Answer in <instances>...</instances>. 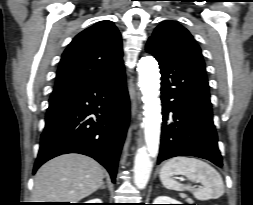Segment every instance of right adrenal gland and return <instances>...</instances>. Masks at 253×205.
<instances>
[{
	"label": "right adrenal gland",
	"instance_id": "2a0ac1e0",
	"mask_svg": "<svg viewBox=\"0 0 253 205\" xmlns=\"http://www.w3.org/2000/svg\"><path fill=\"white\" fill-rule=\"evenodd\" d=\"M100 189H105V185H104V182L102 183Z\"/></svg>",
	"mask_w": 253,
	"mask_h": 205
}]
</instances>
